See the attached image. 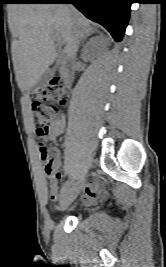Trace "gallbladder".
<instances>
[{
  "label": "gallbladder",
  "instance_id": "obj_1",
  "mask_svg": "<svg viewBox=\"0 0 166 267\" xmlns=\"http://www.w3.org/2000/svg\"><path fill=\"white\" fill-rule=\"evenodd\" d=\"M60 65V59L57 60V63L55 65V67L51 68V69H47L39 78V80L37 81V83L32 87L31 91L35 92L39 89H44L45 87L48 86L49 81L51 80V78H53L56 69L58 68V66Z\"/></svg>",
  "mask_w": 166,
  "mask_h": 267
}]
</instances>
